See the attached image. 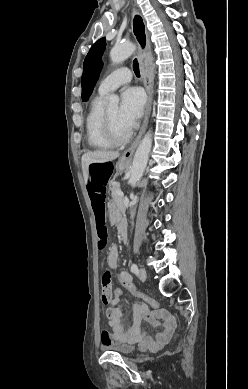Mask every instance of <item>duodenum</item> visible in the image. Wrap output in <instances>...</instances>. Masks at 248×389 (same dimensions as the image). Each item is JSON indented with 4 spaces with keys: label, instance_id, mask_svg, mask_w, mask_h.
Returning <instances> with one entry per match:
<instances>
[{
    "label": "duodenum",
    "instance_id": "duodenum-1",
    "mask_svg": "<svg viewBox=\"0 0 248 389\" xmlns=\"http://www.w3.org/2000/svg\"><path fill=\"white\" fill-rule=\"evenodd\" d=\"M119 234L121 235V237L124 239L125 238V235H126V228H125V225L123 223H121L119 225Z\"/></svg>",
    "mask_w": 248,
    "mask_h": 389
}]
</instances>
